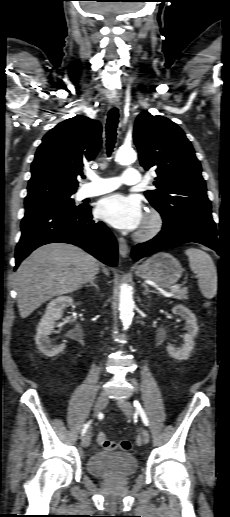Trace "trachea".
<instances>
[{
    "instance_id": "trachea-1",
    "label": "trachea",
    "mask_w": 230,
    "mask_h": 517,
    "mask_svg": "<svg viewBox=\"0 0 230 517\" xmlns=\"http://www.w3.org/2000/svg\"><path fill=\"white\" fill-rule=\"evenodd\" d=\"M119 113L117 108H112L107 117L106 123V147L107 153L110 155L113 151L115 141H116V129L119 122Z\"/></svg>"
}]
</instances>
